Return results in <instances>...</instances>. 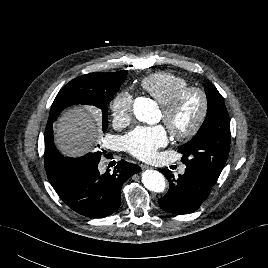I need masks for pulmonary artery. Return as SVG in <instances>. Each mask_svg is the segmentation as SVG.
Wrapping results in <instances>:
<instances>
[{"mask_svg":"<svg viewBox=\"0 0 268 268\" xmlns=\"http://www.w3.org/2000/svg\"><path fill=\"white\" fill-rule=\"evenodd\" d=\"M179 172H180L181 174H183V173L185 172V166H182V167L180 168Z\"/></svg>","mask_w":268,"mask_h":268,"instance_id":"e3ab8cb5","label":"pulmonary artery"}]
</instances>
